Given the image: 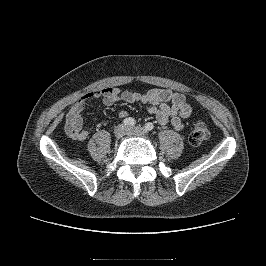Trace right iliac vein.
Instances as JSON below:
<instances>
[{
    "label": "right iliac vein",
    "instance_id": "obj_1",
    "mask_svg": "<svg viewBox=\"0 0 266 266\" xmlns=\"http://www.w3.org/2000/svg\"><path fill=\"white\" fill-rule=\"evenodd\" d=\"M125 131L126 127L124 125H118L114 129V136L117 138H121L125 134Z\"/></svg>",
    "mask_w": 266,
    "mask_h": 266
}]
</instances>
